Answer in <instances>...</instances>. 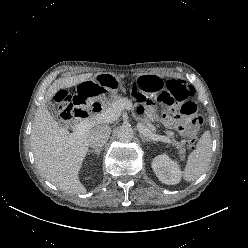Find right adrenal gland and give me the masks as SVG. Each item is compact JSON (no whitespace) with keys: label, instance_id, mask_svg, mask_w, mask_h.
Here are the masks:
<instances>
[{"label":"right adrenal gland","instance_id":"2a0ac1e0","mask_svg":"<svg viewBox=\"0 0 248 248\" xmlns=\"http://www.w3.org/2000/svg\"><path fill=\"white\" fill-rule=\"evenodd\" d=\"M101 151H102V148L94 149V150H89L88 151V154L95 153V154L99 155L101 153Z\"/></svg>","mask_w":248,"mask_h":248}]
</instances>
